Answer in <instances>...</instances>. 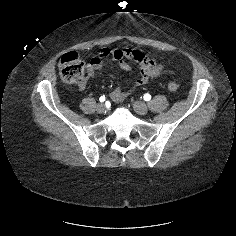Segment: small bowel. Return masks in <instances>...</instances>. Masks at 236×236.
I'll use <instances>...</instances> for the list:
<instances>
[{
	"mask_svg": "<svg viewBox=\"0 0 236 236\" xmlns=\"http://www.w3.org/2000/svg\"><path fill=\"white\" fill-rule=\"evenodd\" d=\"M108 58L116 60L118 68L122 71L131 70V62L137 63L140 67L139 77L135 80L133 86L130 89L127 91H122L117 88L111 93L110 96L114 101H121L127 95L132 93L137 87L146 85L153 79L170 73L155 58L147 55L143 51L121 47L115 50L104 48L97 56L91 59L89 63V71L92 77H95L96 73L104 68L105 61ZM85 86L86 83H83L79 85V89L83 90Z\"/></svg>",
	"mask_w": 236,
	"mask_h": 236,
	"instance_id": "1",
	"label": "small bowel"
}]
</instances>
